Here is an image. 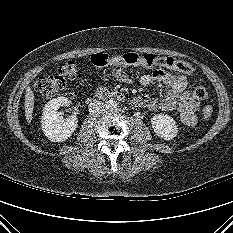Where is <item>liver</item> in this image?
<instances>
[{
	"label": "liver",
	"instance_id": "1",
	"mask_svg": "<svg viewBox=\"0 0 233 233\" xmlns=\"http://www.w3.org/2000/svg\"><path fill=\"white\" fill-rule=\"evenodd\" d=\"M34 93L31 90L30 87L26 88V93H25V116H26V120L28 121V123L31 122L32 120V114H33V109H34Z\"/></svg>",
	"mask_w": 233,
	"mask_h": 233
}]
</instances>
